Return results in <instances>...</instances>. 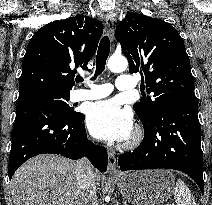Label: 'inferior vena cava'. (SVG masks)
I'll return each instance as SVG.
<instances>
[{"label": "inferior vena cava", "instance_id": "obj_1", "mask_svg": "<svg viewBox=\"0 0 212 205\" xmlns=\"http://www.w3.org/2000/svg\"><path fill=\"white\" fill-rule=\"evenodd\" d=\"M77 205H98L95 175L88 159L82 158L76 164Z\"/></svg>", "mask_w": 212, "mask_h": 205}]
</instances>
